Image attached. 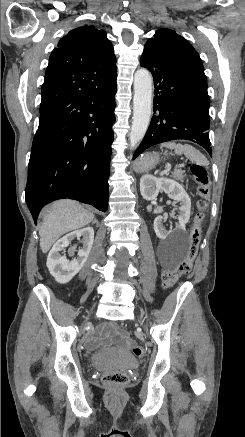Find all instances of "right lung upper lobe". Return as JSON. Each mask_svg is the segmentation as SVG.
<instances>
[{
    "mask_svg": "<svg viewBox=\"0 0 245 437\" xmlns=\"http://www.w3.org/2000/svg\"><path fill=\"white\" fill-rule=\"evenodd\" d=\"M113 46L94 25L71 30L49 58L42 85L40 112L57 103L90 95L116 80Z\"/></svg>",
    "mask_w": 245,
    "mask_h": 437,
    "instance_id": "cb5924a9",
    "label": "right lung upper lobe"
}]
</instances>
